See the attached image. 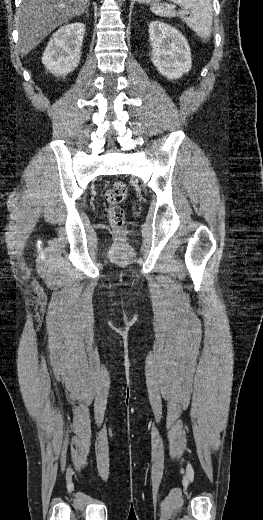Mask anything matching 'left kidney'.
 I'll return each mask as SVG.
<instances>
[{
  "label": "left kidney",
  "instance_id": "1",
  "mask_svg": "<svg viewBox=\"0 0 263 520\" xmlns=\"http://www.w3.org/2000/svg\"><path fill=\"white\" fill-rule=\"evenodd\" d=\"M149 37L151 60L161 75L173 80L190 71V47L178 30L164 22L153 21L149 25Z\"/></svg>",
  "mask_w": 263,
  "mask_h": 520
}]
</instances>
